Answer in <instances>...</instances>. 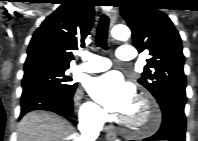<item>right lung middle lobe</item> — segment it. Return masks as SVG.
<instances>
[{
  "label": "right lung middle lobe",
  "instance_id": "right-lung-middle-lobe-1",
  "mask_svg": "<svg viewBox=\"0 0 198 141\" xmlns=\"http://www.w3.org/2000/svg\"><path fill=\"white\" fill-rule=\"evenodd\" d=\"M68 68H39L24 73L22 79L23 89L30 87H48L61 93H73L77 84L71 83L72 79L65 75Z\"/></svg>",
  "mask_w": 198,
  "mask_h": 141
}]
</instances>
